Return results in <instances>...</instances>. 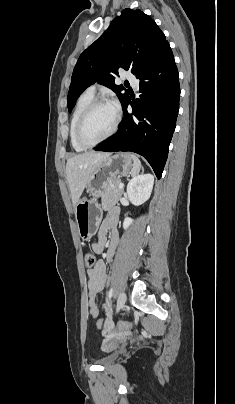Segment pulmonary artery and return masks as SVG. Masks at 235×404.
I'll list each match as a JSON object with an SVG mask.
<instances>
[{"instance_id": "e3ab8cb5", "label": "pulmonary artery", "mask_w": 235, "mask_h": 404, "mask_svg": "<svg viewBox=\"0 0 235 404\" xmlns=\"http://www.w3.org/2000/svg\"><path fill=\"white\" fill-rule=\"evenodd\" d=\"M123 77L125 79H127L134 88L137 87L138 81L130 71H126L123 74ZM96 90H97V86L96 85H91L90 87H88L87 92L91 93V94H94L96 92Z\"/></svg>"}]
</instances>
